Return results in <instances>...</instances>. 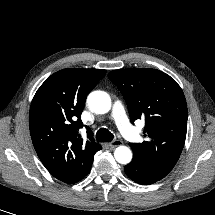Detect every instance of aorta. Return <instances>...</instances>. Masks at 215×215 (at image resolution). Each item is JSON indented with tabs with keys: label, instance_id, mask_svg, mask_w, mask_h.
Returning a JSON list of instances; mask_svg holds the SVG:
<instances>
[{
	"label": "aorta",
	"instance_id": "1",
	"mask_svg": "<svg viewBox=\"0 0 215 215\" xmlns=\"http://www.w3.org/2000/svg\"><path fill=\"white\" fill-rule=\"evenodd\" d=\"M89 108L97 114H105L111 108V99L103 91L91 92L87 98ZM114 156L117 162L128 164L132 159L131 150L126 146H119L115 149Z\"/></svg>",
	"mask_w": 215,
	"mask_h": 215
}]
</instances>
